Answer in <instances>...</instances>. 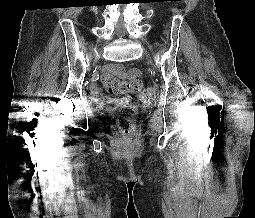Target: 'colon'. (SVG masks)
Here are the masks:
<instances>
[{"instance_id": "colon-1", "label": "colon", "mask_w": 255, "mask_h": 218, "mask_svg": "<svg viewBox=\"0 0 255 218\" xmlns=\"http://www.w3.org/2000/svg\"><path fill=\"white\" fill-rule=\"evenodd\" d=\"M103 83L107 90L114 95L124 93H135L141 90V82L137 79L130 81H120L113 77H103ZM156 91L154 88H145L141 92V100L143 103H151L155 100ZM137 115V105L127 103L120 107L118 111L119 129L123 133H128L133 127L134 119Z\"/></svg>"}]
</instances>
